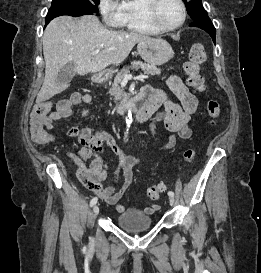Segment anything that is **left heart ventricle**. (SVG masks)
<instances>
[{"instance_id": "obj_1", "label": "left heart ventricle", "mask_w": 261, "mask_h": 273, "mask_svg": "<svg viewBox=\"0 0 261 273\" xmlns=\"http://www.w3.org/2000/svg\"><path fill=\"white\" fill-rule=\"evenodd\" d=\"M181 8L176 0H161L157 9V18L164 27H173L181 20Z\"/></svg>"}]
</instances>
